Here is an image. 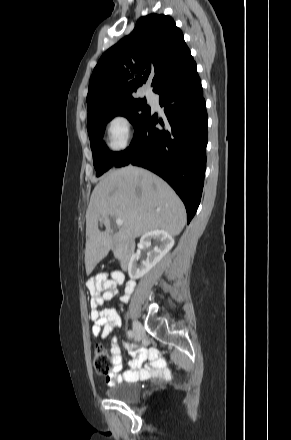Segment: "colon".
Returning <instances> with one entry per match:
<instances>
[{
    "mask_svg": "<svg viewBox=\"0 0 291 440\" xmlns=\"http://www.w3.org/2000/svg\"><path fill=\"white\" fill-rule=\"evenodd\" d=\"M110 359L107 355L106 349L102 345H97L94 349L93 365L94 369L99 374L107 375L110 371Z\"/></svg>",
    "mask_w": 291,
    "mask_h": 440,
    "instance_id": "obj_1",
    "label": "colon"
}]
</instances>
